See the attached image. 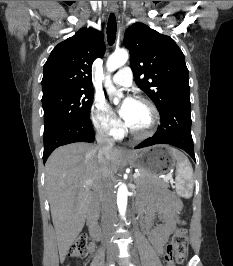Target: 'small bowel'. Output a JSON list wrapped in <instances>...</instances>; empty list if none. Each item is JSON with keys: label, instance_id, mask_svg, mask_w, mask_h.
Here are the masks:
<instances>
[{"label": "small bowel", "instance_id": "c3829d8e", "mask_svg": "<svg viewBox=\"0 0 233 266\" xmlns=\"http://www.w3.org/2000/svg\"><path fill=\"white\" fill-rule=\"evenodd\" d=\"M137 207L140 212H144L142 228L147 233L155 252L161 255L164 244L176 225L181 201L172 193L163 191L148 199L139 200ZM88 250L93 254L95 244H89Z\"/></svg>", "mask_w": 233, "mask_h": 266}]
</instances>
